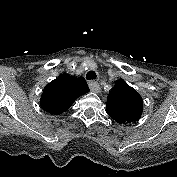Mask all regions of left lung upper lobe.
<instances>
[{
    "label": "left lung upper lobe",
    "mask_w": 177,
    "mask_h": 177,
    "mask_svg": "<svg viewBox=\"0 0 177 177\" xmlns=\"http://www.w3.org/2000/svg\"><path fill=\"white\" fill-rule=\"evenodd\" d=\"M142 105L138 92L120 79L108 96L107 114L117 123L128 125L140 119Z\"/></svg>",
    "instance_id": "5c2ea615"
}]
</instances>
